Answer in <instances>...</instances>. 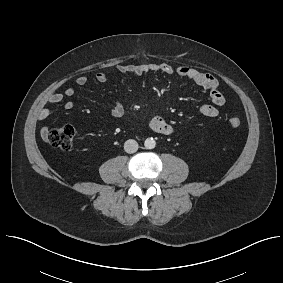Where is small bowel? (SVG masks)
<instances>
[{
    "label": "small bowel",
    "instance_id": "obj_1",
    "mask_svg": "<svg viewBox=\"0 0 283 283\" xmlns=\"http://www.w3.org/2000/svg\"><path fill=\"white\" fill-rule=\"evenodd\" d=\"M112 73L119 74H133L143 75L147 73H162L166 75H176L179 78L186 79L193 84L207 90L210 94L212 104H204L200 107L199 112L202 116L207 118H215L219 115V107L226 103V98L219 90V81L211 73H205L198 71L188 66L174 67L167 63H147V64H124L117 66L112 71H101L96 74V79L100 83H104ZM88 82V78L84 75L77 77L76 84L78 86H84ZM76 89L73 86L65 88L64 92L52 93L45 103V106L40 109L38 118L40 121L46 120L50 115V106L63 102L64 97L74 96ZM66 109H72L74 107V101L68 100L64 103ZM112 115L116 118H125V110L121 103L116 102L113 105ZM149 125L151 129L159 134L171 135L175 133L176 128L166 121L161 116L155 115L149 119ZM48 130L46 127L41 128L42 136H46Z\"/></svg>",
    "mask_w": 283,
    "mask_h": 283
}]
</instances>
